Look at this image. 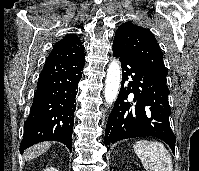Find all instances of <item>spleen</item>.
I'll use <instances>...</instances> for the list:
<instances>
[{
  "instance_id": "obj_1",
  "label": "spleen",
  "mask_w": 199,
  "mask_h": 171,
  "mask_svg": "<svg viewBox=\"0 0 199 171\" xmlns=\"http://www.w3.org/2000/svg\"><path fill=\"white\" fill-rule=\"evenodd\" d=\"M133 148L147 171H173L171 155L161 142L139 140Z\"/></svg>"
}]
</instances>
